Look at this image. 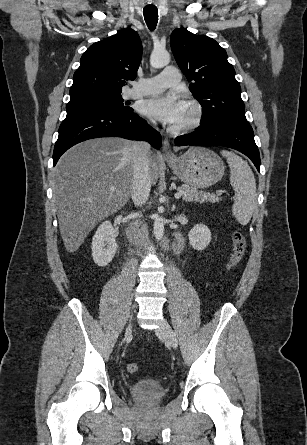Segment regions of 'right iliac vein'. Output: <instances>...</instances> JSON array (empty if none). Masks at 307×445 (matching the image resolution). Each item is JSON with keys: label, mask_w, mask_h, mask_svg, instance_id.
<instances>
[{"label": "right iliac vein", "mask_w": 307, "mask_h": 445, "mask_svg": "<svg viewBox=\"0 0 307 445\" xmlns=\"http://www.w3.org/2000/svg\"><path fill=\"white\" fill-rule=\"evenodd\" d=\"M129 331H131V324H129L127 329H126V332H129Z\"/></svg>", "instance_id": "right-iliac-vein-1"}]
</instances>
